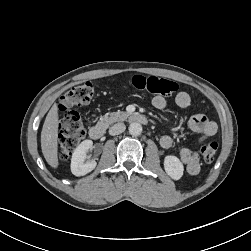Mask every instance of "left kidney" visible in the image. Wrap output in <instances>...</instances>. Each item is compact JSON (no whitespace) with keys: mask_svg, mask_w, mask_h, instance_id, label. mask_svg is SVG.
Instances as JSON below:
<instances>
[{"mask_svg":"<svg viewBox=\"0 0 251 251\" xmlns=\"http://www.w3.org/2000/svg\"><path fill=\"white\" fill-rule=\"evenodd\" d=\"M164 169L174 180H179L183 176V164L176 156L167 155L164 158Z\"/></svg>","mask_w":251,"mask_h":251,"instance_id":"5707ae66","label":"left kidney"}]
</instances>
